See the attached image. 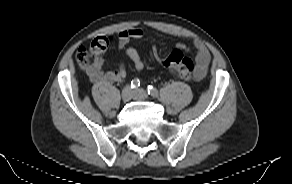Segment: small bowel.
<instances>
[{
  "label": "small bowel",
  "mask_w": 292,
  "mask_h": 184,
  "mask_svg": "<svg viewBox=\"0 0 292 184\" xmlns=\"http://www.w3.org/2000/svg\"><path fill=\"white\" fill-rule=\"evenodd\" d=\"M144 35L142 29L138 27L130 28L123 30L118 35V47L124 51L125 55L132 61L137 70H142L144 63L140 58L137 50L128 47V44L132 39H140ZM194 47L196 49V68L194 71V79L200 80L205 77L209 62H210V53L207 47L200 41L194 42ZM179 50H186L184 44L178 43L175 47ZM104 65V59L102 57L95 58L93 64L87 69V75L91 82L93 83H111V82H123L126 78V65L124 61L119 63V67L116 70H108L104 72L102 70ZM172 72H175L171 69Z\"/></svg>",
  "instance_id": "obj_1"
}]
</instances>
